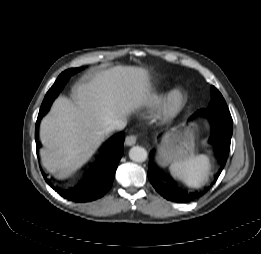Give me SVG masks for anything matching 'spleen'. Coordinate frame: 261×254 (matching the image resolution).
I'll list each match as a JSON object with an SVG mask.
<instances>
[{"label":"spleen","mask_w":261,"mask_h":254,"mask_svg":"<svg viewBox=\"0 0 261 254\" xmlns=\"http://www.w3.org/2000/svg\"><path fill=\"white\" fill-rule=\"evenodd\" d=\"M170 171L174 178L184 181L192 187L203 186L209 178L211 164L206 155H193L189 158L173 162Z\"/></svg>","instance_id":"spleen-1"}]
</instances>
